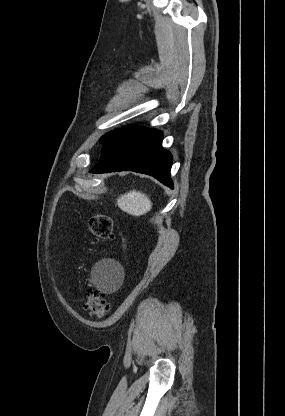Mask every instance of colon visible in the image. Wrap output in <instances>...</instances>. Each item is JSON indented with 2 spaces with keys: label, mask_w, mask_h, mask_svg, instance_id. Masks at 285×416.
I'll use <instances>...</instances> for the list:
<instances>
[{
  "label": "colon",
  "mask_w": 285,
  "mask_h": 416,
  "mask_svg": "<svg viewBox=\"0 0 285 416\" xmlns=\"http://www.w3.org/2000/svg\"><path fill=\"white\" fill-rule=\"evenodd\" d=\"M89 228L92 235L97 240H107L112 237L113 221L112 218L105 214H97L90 218ZM87 308L91 314L101 318L110 311V304L103 293L94 289L88 288L86 290Z\"/></svg>",
  "instance_id": "5ec220e1"
}]
</instances>
